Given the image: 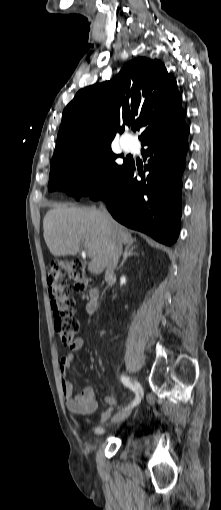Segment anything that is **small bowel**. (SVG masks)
I'll return each instance as SVG.
<instances>
[{"label":"small bowel","instance_id":"obj_1","mask_svg":"<svg viewBox=\"0 0 221 510\" xmlns=\"http://www.w3.org/2000/svg\"><path fill=\"white\" fill-rule=\"evenodd\" d=\"M82 346L83 340L81 338H76L71 344L72 350L61 358L59 362L60 384L67 409L72 413L88 416L97 408L95 390L92 387L87 386L79 393L75 394L73 392V383L67 376V371L71 367L75 358L74 351L80 350ZM105 402L109 405V408L97 415L96 423L93 420H88L89 425L96 433H100L104 430V423L111 417L117 404V400L113 396L105 397Z\"/></svg>","mask_w":221,"mask_h":510}]
</instances>
